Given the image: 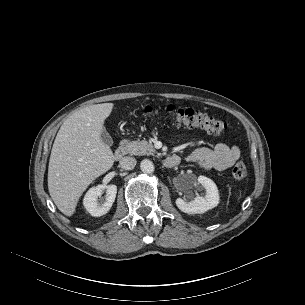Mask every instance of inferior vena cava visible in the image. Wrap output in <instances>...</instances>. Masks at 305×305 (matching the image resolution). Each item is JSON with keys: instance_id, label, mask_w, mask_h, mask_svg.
Here are the masks:
<instances>
[{"instance_id": "inferior-vena-cava-1", "label": "inferior vena cava", "mask_w": 305, "mask_h": 305, "mask_svg": "<svg viewBox=\"0 0 305 305\" xmlns=\"http://www.w3.org/2000/svg\"><path fill=\"white\" fill-rule=\"evenodd\" d=\"M136 163H137L136 159L130 156L123 157L119 162L120 167L125 170L133 169Z\"/></svg>"}]
</instances>
